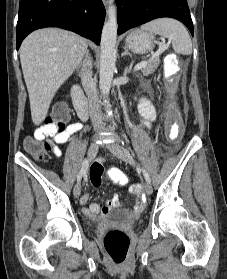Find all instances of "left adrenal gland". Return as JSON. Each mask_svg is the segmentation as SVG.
Wrapping results in <instances>:
<instances>
[{"label":"left adrenal gland","mask_w":227,"mask_h":279,"mask_svg":"<svg viewBox=\"0 0 227 279\" xmlns=\"http://www.w3.org/2000/svg\"><path fill=\"white\" fill-rule=\"evenodd\" d=\"M126 55H129L131 57V54L128 52L127 47H124V52L122 53V57L126 56ZM128 72H129V69H128V67H126L123 71V75H127Z\"/></svg>","instance_id":"a2214340"}]
</instances>
